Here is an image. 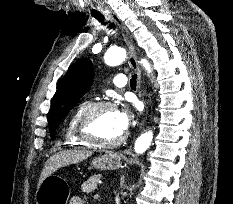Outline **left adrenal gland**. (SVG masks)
Segmentation results:
<instances>
[{"instance_id":"1","label":"left adrenal gland","mask_w":233,"mask_h":204,"mask_svg":"<svg viewBox=\"0 0 233 204\" xmlns=\"http://www.w3.org/2000/svg\"><path fill=\"white\" fill-rule=\"evenodd\" d=\"M123 183H124V176L121 179V185H123Z\"/></svg>"}]
</instances>
